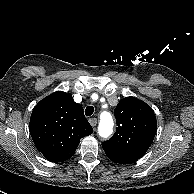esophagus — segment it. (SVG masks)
<instances>
[{
  "mask_svg": "<svg viewBox=\"0 0 194 194\" xmlns=\"http://www.w3.org/2000/svg\"><path fill=\"white\" fill-rule=\"evenodd\" d=\"M89 123L92 127H95L97 125V119L96 118H90Z\"/></svg>",
  "mask_w": 194,
  "mask_h": 194,
  "instance_id": "esophagus-1",
  "label": "esophagus"
}]
</instances>
